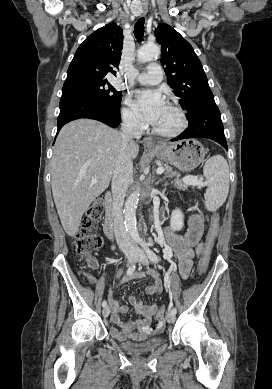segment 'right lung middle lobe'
Segmentation results:
<instances>
[{
    "mask_svg": "<svg viewBox=\"0 0 272 389\" xmlns=\"http://www.w3.org/2000/svg\"><path fill=\"white\" fill-rule=\"evenodd\" d=\"M87 97L110 107H120L122 93L107 80H85L64 84L61 97Z\"/></svg>",
    "mask_w": 272,
    "mask_h": 389,
    "instance_id": "1",
    "label": "right lung middle lobe"
}]
</instances>
